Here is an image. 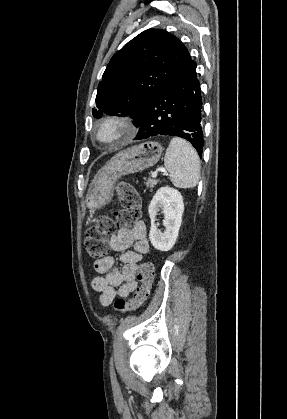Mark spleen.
Here are the masks:
<instances>
[{"label":"spleen","instance_id":"1","mask_svg":"<svg viewBox=\"0 0 287 419\" xmlns=\"http://www.w3.org/2000/svg\"><path fill=\"white\" fill-rule=\"evenodd\" d=\"M164 165L170 180L178 188H193L200 177L199 156L186 140L174 137L164 156Z\"/></svg>","mask_w":287,"mask_h":419}]
</instances>
